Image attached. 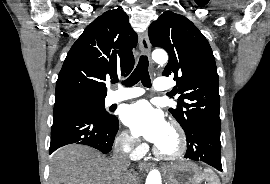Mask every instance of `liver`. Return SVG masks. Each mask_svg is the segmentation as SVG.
<instances>
[{"mask_svg":"<svg viewBox=\"0 0 270 184\" xmlns=\"http://www.w3.org/2000/svg\"><path fill=\"white\" fill-rule=\"evenodd\" d=\"M126 170L100 152L72 144L58 149L51 160L49 184H123Z\"/></svg>","mask_w":270,"mask_h":184,"instance_id":"1","label":"liver"}]
</instances>
